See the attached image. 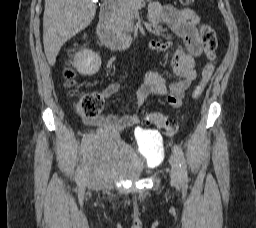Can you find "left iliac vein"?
<instances>
[{
    "label": "left iliac vein",
    "mask_w": 256,
    "mask_h": 228,
    "mask_svg": "<svg viewBox=\"0 0 256 228\" xmlns=\"http://www.w3.org/2000/svg\"><path fill=\"white\" fill-rule=\"evenodd\" d=\"M170 164H171V183L174 186H178L181 183V173H180V166H179V159L178 157L173 154L170 157Z\"/></svg>",
    "instance_id": "4c4485c4"
}]
</instances>
